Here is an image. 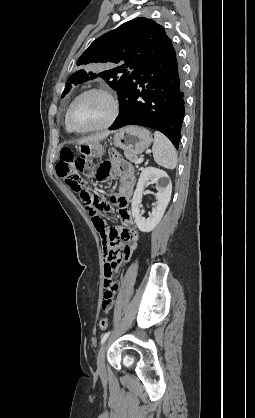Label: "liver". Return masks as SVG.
I'll use <instances>...</instances> for the list:
<instances>
[{"instance_id":"1","label":"liver","mask_w":255,"mask_h":418,"mask_svg":"<svg viewBox=\"0 0 255 418\" xmlns=\"http://www.w3.org/2000/svg\"><path fill=\"white\" fill-rule=\"evenodd\" d=\"M109 134H110V132H105V133H101V134H98V135H94V136H90V137H85L83 139L78 140L77 143L79 145H81V144H90V143H99L100 141H102L103 139H105Z\"/></svg>"}]
</instances>
